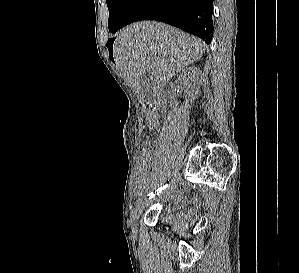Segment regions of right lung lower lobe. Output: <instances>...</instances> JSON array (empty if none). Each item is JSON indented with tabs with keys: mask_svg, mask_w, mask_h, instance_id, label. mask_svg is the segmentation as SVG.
<instances>
[{
	"mask_svg": "<svg viewBox=\"0 0 299 273\" xmlns=\"http://www.w3.org/2000/svg\"><path fill=\"white\" fill-rule=\"evenodd\" d=\"M213 0H134L120 28L136 21L157 20L178 27L203 39L213 35Z\"/></svg>",
	"mask_w": 299,
	"mask_h": 273,
	"instance_id": "obj_1",
	"label": "right lung lower lobe"
}]
</instances>
